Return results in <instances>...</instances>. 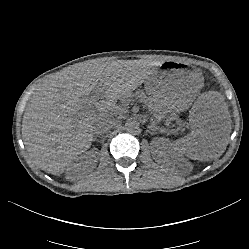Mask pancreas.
Listing matches in <instances>:
<instances>
[{"label": "pancreas", "instance_id": "obj_1", "mask_svg": "<svg viewBox=\"0 0 249 249\" xmlns=\"http://www.w3.org/2000/svg\"><path fill=\"white\" fill-rule=\"evenodd\" d=\"M139 100L143 103H146L149 106V112L151 114H156L160 109L159 105L156 102H153L144 92H137Z\"/></svg>", "mask_w": 249, "mask_h": 249}]
</instances>
